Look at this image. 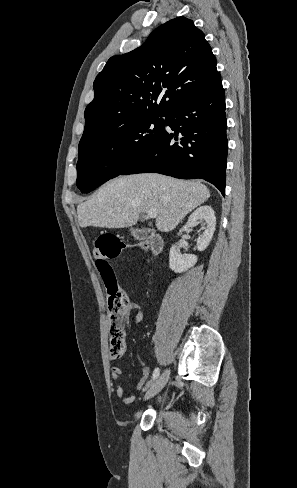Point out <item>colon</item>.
Instances as JSON below:
<instances>
[{
  "instance_id": "1",
  "label": "colon",
  "mask_w": 297,
  "mask_h": 488,
  "mask_svg": "<svg viewBox=\"0 0 297 488\" xmlns=\"http://www.w3.org/2000/svg\"><path fill=\"white\" fill-rule=\"evenodd\" d=\"M133 248L148 251L149 245L125 243L111 233H104L95 241L96 267L107 290L110 353L114 358L121 357L126 349L124 320L130 310V300L127 293L119 287L110 260L118 258L125 249Z\"/></svg>"
}]
</instances>
